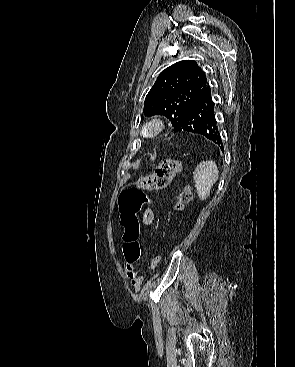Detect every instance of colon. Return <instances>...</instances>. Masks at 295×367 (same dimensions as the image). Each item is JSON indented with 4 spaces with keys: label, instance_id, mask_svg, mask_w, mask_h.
<instances>
[{
    "label": "colon",
    "instance_id": "1",
    "mask_svg": "<svg viewBox=\"0 0 295 367\" xmlns=\"http://www.w3.org/2000/svg\"><path fill=\"white\" fill-rule=\"evenodd\" d=\"M183 170L182 163L176 159L163 160L157 169L149 175L140 177L133 185L126 188L119 197L120 223L123 227V252L128 261H136L140 255L138 244L139 222L138 212L142 206H154L156 200L144 191L162 190L167 188L174 176ZM192 198L189 186L178 193L172 204L176 212L183 210ZM160 263V257L155 256L151 261L152 268Z\"/></svg>",
    "mask_w": 295,
    "mask_h": 367
}]
</instances>
